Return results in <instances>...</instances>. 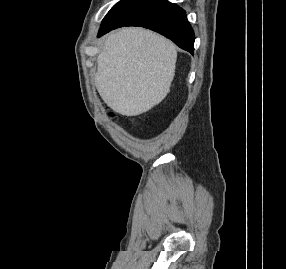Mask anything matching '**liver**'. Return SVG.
Returning <instances> with one entry per match:
<instances>
[{
	"instance_id": "obj_1",
	"label": "liver",
	"mask_w": 286,
	"mask_h": 269,
	"mask_svg": "<svg viewBox=\"0 0 286 269\" xmlns=\"http://www.w3.org/2000/svg\"><path fill=\"white\" fill-rule=\"evenodd\" d=\"M176 58V47L168 39L146 29L122 28L103 43L95 86L113 111L143 114L168 94Z\"/></svg>"
}]
</instances>
